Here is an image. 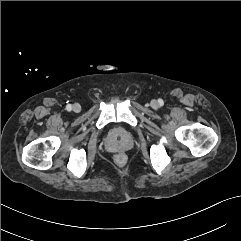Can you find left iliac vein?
<instances>
[{
	"mask_svg": "<svg viewBox=\"0 0 241 241\" xmlns=\"http://www.w3.org/2000/svg\"><path fill=\"white\" fill-rule=\"evenodd\" d=\"M150 104H151V107L154 109L158 108V106H159L157 100H152Z\"/></svg>",
	"mask_w": 241,
	"mask_h": 241,
	"instance_id": "obj_1",
	"label": "left iliac vein"
}]
</instances>
